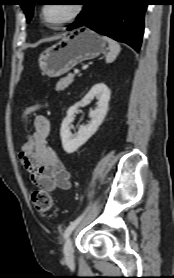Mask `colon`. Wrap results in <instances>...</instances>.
<instances>
[{
    "instance_id": "obj_1",
    "label": "colon",
    "mask_w": 174,
    "mask_h": 278,
    "mask_svg": "<svg viewBox=\"0 0 174 278\" xmlns=\"http://www.w3.org/2000/svg\"><path fill=\"white\" fill-rule=\"evenodd\" d=\"M38 109H39L38 105L29 107L25 112V119H27L31 113H33L34 111H36ZM34 147H35V140H34L33 134H30L21 143L19 154H22V155L30 154L34 150ZM32 202H33L35 209L41 213L48 212L52 207L51 195L48 192L41 190V189L33 191Z\"/></svg>"
}]
</instances>
